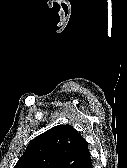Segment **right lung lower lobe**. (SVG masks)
Returning <instances> with one entry per match:
<instances>
[{"instance_id":"right-lung-lower-lobe-1","label":"right lung lower lobe","mask_w":127,"mask_h":168,"mask_svg":"<svg viewBox=\"0 0 127 168\" xmlns=\"http://www.w3.org/2000/svg\"><path fill=\"white\" fill-rule=\"evenodd\" d=\"M76 168H93L91 158L85 160L84 162L76 166Z\"/></svg>"}]
</instances>
